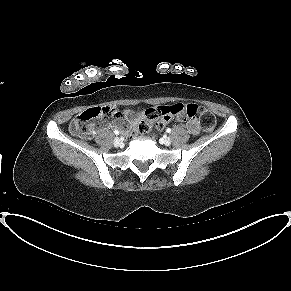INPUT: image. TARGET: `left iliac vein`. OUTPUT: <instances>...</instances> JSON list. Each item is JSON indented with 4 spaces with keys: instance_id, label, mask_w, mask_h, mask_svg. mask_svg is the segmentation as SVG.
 <instances>
[{
    "instance_id": "1",
    "label": "left iliac vein",
    "mask_w": 291,
    "mask_h": 291,
    "mask_svg": "<svg viewBox=\"0 0 291 291\" xmlns=\"http://www.w3.org/2000/svg\"><path fill=\"white\" fill-rule=\"evenodd\" d=\"M171 139L169 137H166L163 139V144L166 146H169L171 144Z\"/></svg>"
}]
</instances>
